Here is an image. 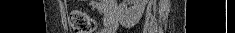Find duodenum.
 <instances>
[{"instance_id": "1", "label": "duodenum", "mask_w": 235, "mask_h": 33, "mask_svg": "<svg viewBox=\"0 0 235 33\" xmlns=\"http://www.w3.org/2000/svg\"><path fill=\"white\" fill-rule=\"evenodd\" d=\"M104 33H114L118 27V7L114 4L107 6L104 17Z\"/></svg>"}]
</instances>
